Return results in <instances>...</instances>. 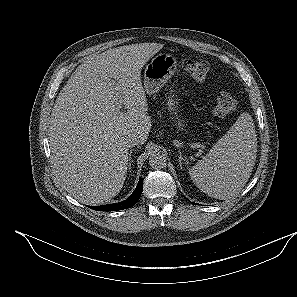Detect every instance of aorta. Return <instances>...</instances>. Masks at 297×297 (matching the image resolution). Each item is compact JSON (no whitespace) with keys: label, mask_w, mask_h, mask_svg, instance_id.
<instances>
[{"label":"aorta","mask_w":297,"mask_h":297,"mask_svg":"<svg viewBox=\"0 0 297 297\" xmlns=\"http://www.w3.org/2000/svg\"><path fill=\"white\" fill-rule=\"evenodd\" d=\"M166 156L162 152L154 151L149 157V165L154 169H161L166 167Z\"/></svg>","instance_id":"aorta-1"}]
</instances>
